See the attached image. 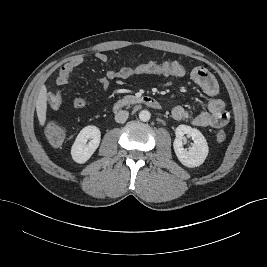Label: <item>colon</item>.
Wrapping results in <instances>:
<instances>
[{"label":"colon","instance_id":"obj_1","mask_svg":"<svg viewBox=\"0 0 267 267\" xmlns=\"http://www.w3.org/2000/svg\"><path fill=\"white\" fill-rule=\"evenodd\" d=\"M185 71L184 65L177 61L164 63L146 62L119 69L118 77L122 80L130 79L143 74H159L178 77L183 76ZM45 135L51 144L57 146L64 141L66 129L62 124L52 121L45 126ZM216 139L218 142L225 141V132L219 131L216 135Z\"/></svg>","mask_w":267,"mask_h":267}]
</instances>
